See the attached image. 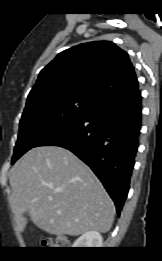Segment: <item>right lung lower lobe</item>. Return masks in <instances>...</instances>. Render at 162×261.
Masks as SVG:
<instances>
[{
    "instance_id": "obj_1",
    "label": "right lung lower lobe",
    "mask_w": 162,
    "mask_h": 261,
    "mask_svg": "<svg viewBox=\"0 0 162 261\" xmlns=\"http://www.w3.org/2000/svg\"><path fill=\"white\" fill-rule=\"evenodd\" d=\"M141 99L139 89L108 97L88 113L49 132L35 146H60L78 156L103 183L118 215L138 149Z\"/></svg>"
}]
</instances>
